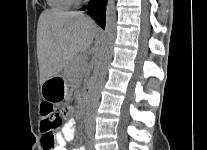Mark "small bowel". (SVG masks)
<instances>
[{"label": "small bowel", "instance_id": "1", "mask_svg": "<svg viewBox=\"0 0 207 150\" xmlns=\"http://www.w3.org/2000/svg\"><path fill=\"white\" fill-rule=\"evenodd\" d=\"M76 133V122L75 120H69L62 128V130L54 135L55 147L53 150H67L66 145L73 141ZM43 145V140H42ZM79 150H87V145H79ZM76 149V150H78Z\"/></svg>", "mask_w": 207, "mask_h": 150}]
</instances>
